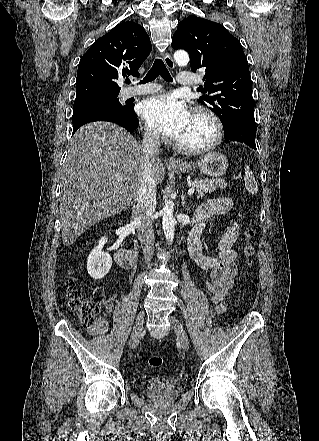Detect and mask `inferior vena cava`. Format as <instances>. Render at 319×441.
Instances as JSON below:
<instances>
[{
  "mask_svg": "<svg viewBox=\"0 0 319 441\" xmlns=\"http://www.w3.org/2000/svg\"><path fill=\"white\" fill-rule=\"evenodd\" d=\"M159 148V134L155 131L147 130L142 141V179L132 210V220L136 225L146 262H149L152 258L155 242L152 214L156 205V182L151 171V161L158 155Z\"/></svg>",
  "mask_w": 319,
  "mask_h": 441,
  "instance_id": "inferior-vena-cava-1",
  "label": "inferior vena cava"
}]
</instances>
